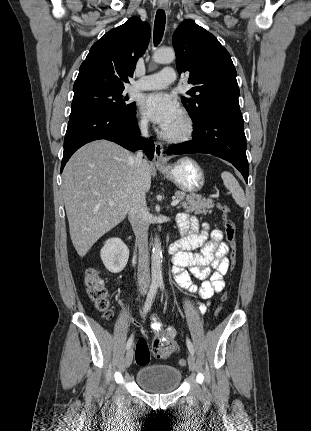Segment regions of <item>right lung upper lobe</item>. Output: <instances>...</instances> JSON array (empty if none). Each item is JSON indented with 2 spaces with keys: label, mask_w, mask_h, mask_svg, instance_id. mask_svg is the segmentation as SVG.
Instances as JSON below:
<instances>
[{
  "label": "right lung upper lobe",
  "mask_w": 311,
  "mask_h": 431,
  "mask_svg": "<svg viewBox=\"0 0 311 431\" xmlns=\"http://www.w3.org/2000/svg\"><path fill=\"white\" fill-rule=\"evenodd\" d=\"M150 26L138 17L110 30L91 47L73 86L74 93L86 90H124L136 62L145 52Z\"/></svg>",
  "instance_id": "right-lung-upper-lobe-1"
}]
</instances>
